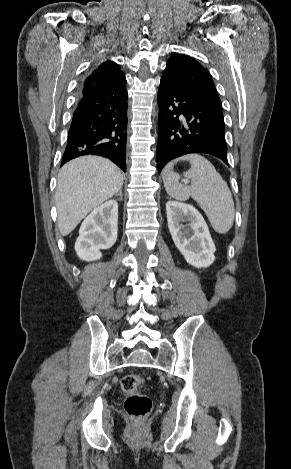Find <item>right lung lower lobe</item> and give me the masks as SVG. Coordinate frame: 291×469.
I'll list each match as a JSON object with an SVG mask.
<instances>
[{
	"mask_svg": "<svg viewBox=\"0 0 291 469\" xmlns=\"http://www.w3.org/2000/svg\"><path fill=\"white\" fill-rule=\"evenodd\" d=\"M127 90L100 89L79 97L62 165L83 155L106 157L126 171Z\"/></svg>",
	"mask_w": 291,
	"mask_h": 469,
	"instance_id": "right-lung-lower-lobe-1",
	"label": "right lung lower lobe"
}]
</instances>
